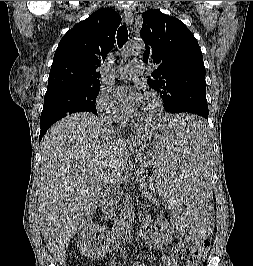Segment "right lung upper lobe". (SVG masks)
Listing matches in <instances>:
<instances>
[{"mask_svg":"<svg viewBox=\"0 0 253 266\" xmlns=\"http://www.w3.org/2000/svg\"><path fill=\"white\" fill-rule=\"evenodd\" d=\"M120 23L116 11L102 8L71 28L55 51L47 91L100 84L97 69L113 48Z\"/></svg>","mask_w":253,"mask_h":266,"instance_id":"1","label":"right lung upper lobe"}]
</instances>
